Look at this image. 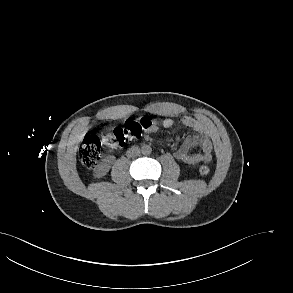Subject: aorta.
<instances>
[{
    "label": "aorta",
    "instance_id": "obj_1",
    "mask_svg": "<svg viewBox=\"0 0 293 293\" xmlns=\"http://www.w3.org/2000/svg\"><path fill=\"white\" fill-rule=\"evenodd\" d=\"M141 151L143 155H149L152 152V148L149 145H143Z\"/></svg>",
    "mask_w": 293,
    "mask_h": 293
}]
</instances>
